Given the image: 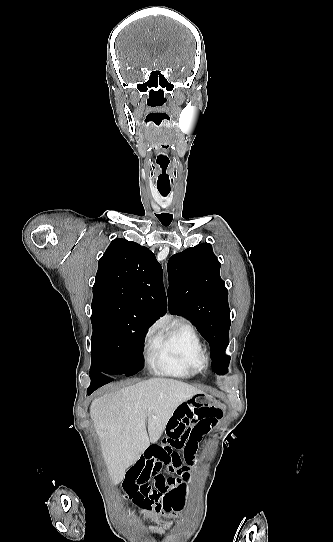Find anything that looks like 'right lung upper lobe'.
<instances>
[{
	"label": "right lung upper lobe",
	"mask_w": 333,
	"mask_h": 542,
	"mask_svg": "<svg viewBox=\"0 0 333 542\" xmlns=\"http://www.w3.org/2000/svg\"><path fill=\"white\" fill-rule=\"evenodd\" d=\"M110 308L153 323L166 313L162 267L155 255L133 241L117 238L99 260L92 309Z\"/></svg>",
	"instance_id": "cb5924a9"
}]
</instances>
